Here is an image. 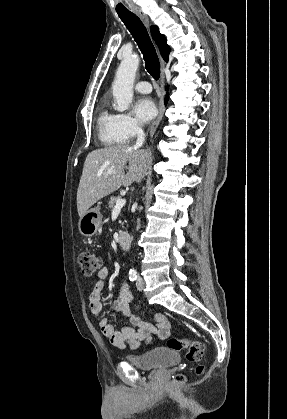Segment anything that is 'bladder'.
Wrapping results in <instances>:
<instances>
[{
	"instance_id": "obj_1",
	"label": "bladder",
	"mask_w": 287,
	"mask_h": 419,
	"mask_svg": "<svg viewBox=\"0 0 287 419\" xmlns=\"http://www.w3.org/2000/svg\"><path fill=\"white\" fill-rule=\"evenodd\" d=\"M127 360L140 369L164 370L176 365L180 357L169 348L158 347L140 355L128 356Z\"/></svg>"
}]
</instances>
